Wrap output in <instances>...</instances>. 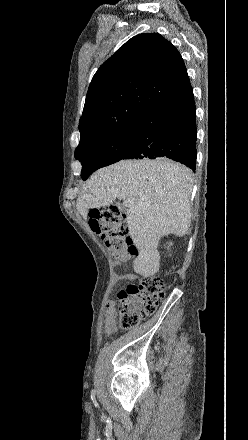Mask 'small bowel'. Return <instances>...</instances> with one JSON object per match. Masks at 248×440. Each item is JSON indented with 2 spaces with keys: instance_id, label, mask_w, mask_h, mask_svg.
Returning <instances> with one entry per match:
<instances>
[{
  "instance_id": "c3829d8e",
  "label": "small bowel",
  "mask_w": 248,
  "mask_h": 440,
  "mask_svg": "<svg viewBox=\"0 0 248 440\" xmlns=\"http://www.w3.org/2000/svg\"><path fill=\"white\" fill-rule=\"evenodd\" d=\"M116 317L117 309L115 304L111 302L107 305L105 317V330L108 334H111L116 330Z\"/></svg>"
}]
</instances>
